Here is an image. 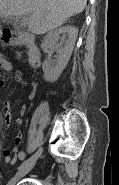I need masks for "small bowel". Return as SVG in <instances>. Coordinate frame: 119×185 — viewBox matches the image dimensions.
<instances>
[{
    "mask_svg": "<svg viewBox=\"0 0 119 185\" xmlns=\"http://www.w3.org/2000/svg\"><path fill=\"white\" fill-rule=\"evenodd\" d=\"M0 68L7 72L11 73L13 70V63L12 61L6 60V59H1L0 60ZM14 80L18 82L20 85L24 86L26 82L23 80L22 73L21 72H16L14 75ZM4 80H0V85H4ZM25 112V106H22L20 110V116L16 118L15 122L18 126L23 124V114ZM3 114H4V123L6 127L11 126L12 121H13V116H12V109H11V104L10 102H5L3 105ZM22 142V135L21 133H18L15 137V146L12 149H4L3 155H4V161L7 164L14 165L17 160L23 161L26 158V154L19 149V146Z\"/></svg>",
    "mask_w": 119,
    "mask_h": 185,
    "instance_id": "small-bowel-1",
    "label": "small bowel"
}]
</instances>
